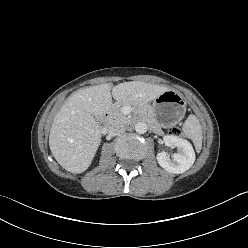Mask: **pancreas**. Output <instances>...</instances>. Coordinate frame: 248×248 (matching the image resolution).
<instances>
[{
  "instance_id": "1",
  "label": "pancreas",
  "mask_w": 248,
  "mask_h": 248,
  "mask_svg": "<svg viewBox=\"0 0 248 248\" xmlns=\"http://www.w3.org/2000/svg\"><path fill=\"white\" fill-rule=\"evenodd\" d=\"M124 106H132V105L130 103H116L114 105L113 109L110 112V116L114 121H118L122 123H126L128 121L127 116L122 111ZM137 112L144 120L154 124L150 107L142 106L137 109ZM154 132L156 133L158 132V127L156 125L154 126Z\"/></svg>"
}]
</instances>
